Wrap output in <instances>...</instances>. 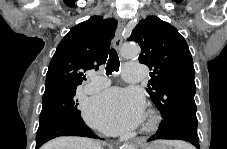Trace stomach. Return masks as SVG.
<instances>
[{
  "mask_svg": "<svg viewBox=\"0 0 227 149\" xmlns=\"http://www.w3.org/2000/svg\"><path fill=\"white\" fill-rule=\"evenodd\" d=\"M145 149H167V148L162 144H155V145L149 146Z\"/></svg>",
  "mask_w": 227,
  "mask_h": 149,
  "instance_id": "obj_1",
  "label": "stomach"
}]
</instances>
